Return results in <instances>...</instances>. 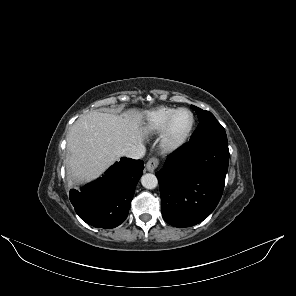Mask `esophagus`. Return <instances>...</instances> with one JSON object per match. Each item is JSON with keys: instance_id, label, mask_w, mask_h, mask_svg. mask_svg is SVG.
<instances>
[{"instance_id": "obj_1", "label": "esophagus", "mask_w": 296, "mask_h": 296, "mask_svg": "<svg viewBox=\"0 0 296 296\" xmlns=\"http://www.w3.org/2000/svg\"><path fill=\"white\" fill-rule=\"evenodd\" d=\"M159 165V160L156 157L149 159L146 164V169L149 172H154Z\"/></svg>"}]
</instances>
